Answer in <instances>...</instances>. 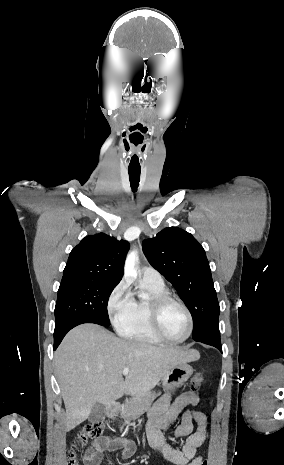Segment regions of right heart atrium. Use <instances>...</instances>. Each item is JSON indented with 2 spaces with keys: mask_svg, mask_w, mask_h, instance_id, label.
<instances>
[{
  "mask_svg": "<svg viewBox=\"0 0 284 465\" xmlns=\"http://www.w3.org/2000/svg\"><path fill=\"white\" fill-rule=\"evenodd\" d=\"M133 297L125 280H121L106 300V313L112 323L124 316L133 304Z\"/></svg>",
  "mask_w": 284,
  "mask_h": 465,
  "instance_id": "obj_1",
  "label": "right heart atrium"
}]
</instances>
